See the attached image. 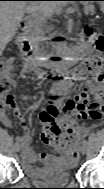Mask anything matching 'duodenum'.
<instances>
[{
    "label": "duodenum",
    "mask_w": 104,
    "mask_h": 189,
    "mask_svg": "<svg viewBox=\"0 0 104 189\" xmlns=\"http://www.w3.org/2000/svg\"><path fill=\"white\" fill-rule=\"evenodd\" d=\"M34 21L31 19H26L23 22V30L18 38L19 47L26 59L27 66L35 74L41 75L43 73L42 62L39 61L37 57V50L34 46V38L32 34ZM77 53L83 56V48H77Z\"/></svg>",
    "instance_id": "obj_1"
}]
</instances>
